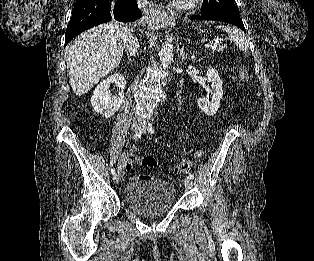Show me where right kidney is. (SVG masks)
<instances>
[{"label": "right kidney", "mask_w": 314, "mask_h": 261, "mask_svg": "<svg viewBox=\"0 0 314 261\" xmlns=\"http://www.w3.org/2000/svg\"><path fill=\"white\" fill-rule=\"evenodd\" d=\"M115 82L121 90L115 95H111L108 90L110 83ZM126 80L121 74H115L100 82L95 88L91 97V105L95 112L109 118L121 107L124 99V89Z\"/></svg>", "instance_id": "1"}]
</instances>
